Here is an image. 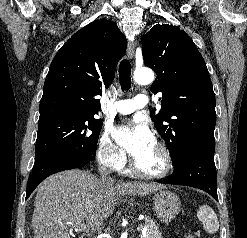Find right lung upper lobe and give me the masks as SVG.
Wrapping results in <instances>:
<instances>
[{"label":"right lung upper lobe","instance_id":"cb5924a9","mask_svg":"<svg viewBox=\"0 0 247 238\" xmlns=\"http://www.w3.org/2000/svg\"><path fill=\"white\" fill-rule=\"evenodd\" d=\"M126 46L124 35L110 20H96L77 31L50 65L39 123L96 115L101 105L95 96L112 83Z\"/></svg>","mask_w":247,"mask_h":238}]
</instances>
